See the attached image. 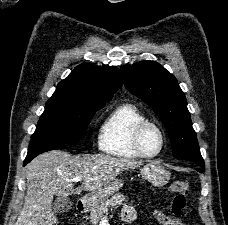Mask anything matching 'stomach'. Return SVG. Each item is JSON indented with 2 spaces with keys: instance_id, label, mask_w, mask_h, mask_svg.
<instances>
[{
  "instance_id": "obj_1",
  "label": "stomach",
  "mask_w": 228,
  "mask_h": 225,
  "mask_svg": "<svg viewBox=\"0 0 228 225\" xmlns=\"http://www.w3.org/2000/svg\"><path fill=\"white\" fill-rule=\"evenodd\" d=\"M140 173L144 179H147V181L155 185V187H163V185H167L170 181V173L165 171L164 167L157 165V163L145 165V167L140 169ZM121 187H123L121 179H113L111 183H108V185H105L102 189H98L96 193H87L86 197H84V201L87 207H97L101 201H106L111 195L118 193Z\"/></svg>"
}]
</instances>
